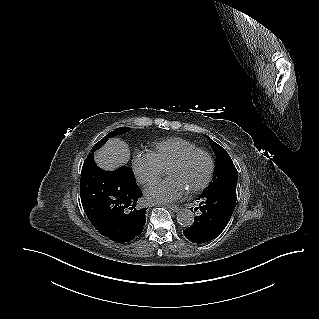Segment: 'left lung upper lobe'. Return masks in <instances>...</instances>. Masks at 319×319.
I'll return each mask as SVG.
<instances>
[{"label":"left lung upper lobe","instance_id":"5c2ea615","mask_svg":"<svg viewBox=\"0 0 319 319\" xmlns=\"http://www.w3.org/2000/svg\"><path fill=\"white\" fill-rule=\"evenodd\" d=\"M205 136L209 140V143L216 155V168L214 171L213 181L203 193H211L230 187H236L238 173L229 154L223 147L211 140L207 135Z\"/></svg>","mask_w":319,"mask_h":319}]
</instances>
